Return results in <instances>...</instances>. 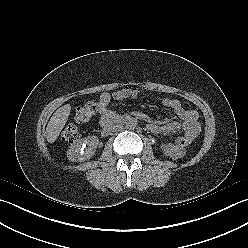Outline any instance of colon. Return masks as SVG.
<instances>
[{
	"mask_svg": "<svg viewBox=\"0 0 248 248\" xmlns=\"http://www.w3.org/2000/svg\"><path fill=\"white\" fill-rule=\"evenodd\" d=\"M98 110H99V102L89 101L83 106H79L76 109L75 119L78 122H86L90 120L93 117V115H95L98 112ZM78 137H79L78 127L73 123L68 124L61 133L62 140L66 142H74L75 140L78 139ZM191 142L192 140L186 136L178 137L175 140V143L181 147H185L189 145Z\"/></svg>",
	"mask_w": 248,
	"mask_h": 248,
	"instance_id": "5ec220e1",
	"label": "colon"
}]
</instances>
